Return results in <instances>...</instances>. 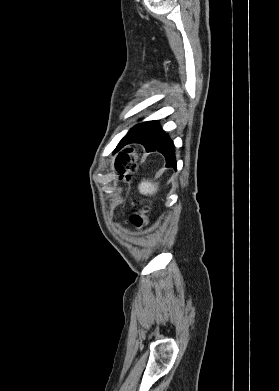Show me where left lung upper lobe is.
<instances>
[{
    "label": "left lung upper lobe",
    "instance_id": "left-lung-upper-lobe-1",
    "mask_svg": "<svg viewBox=\"0 0 279 391\" xmlns=\"http://www.w3.org/2000/svg\"><path fill=\"white\" fill-rule=\"evenodd\" d=\"M157 123V121H149V122H144V123H141V124H138L136 125L135 127H133L129 133L127 134L126 137H128L129 135H137V134H140L148 129H150L152 126H154L155 124ZM125 137V138H126ZM123 141V140H122ZM122 141L119 143V145L122 143ZM118 145V147H119Z\"/></svg>",
    "mask_w": 279,
    "mask_h": 391
}]
</instances>
